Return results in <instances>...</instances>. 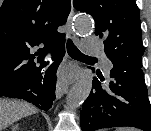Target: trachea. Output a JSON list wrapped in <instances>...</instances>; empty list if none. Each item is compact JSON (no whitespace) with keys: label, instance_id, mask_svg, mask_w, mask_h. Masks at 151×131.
Returning <instances> with one entry per match:
<instances>
[{"label":"trachea","instance_id":"1","mask_svg":"<svg viewBox=\"0 0 151 131\" xmlns=\"http://www.w3.org/2000/svg\"><path fill=\"white\" fill-rule=\"evenodd\" d=\"M67 52L71 57L92 58L81 53L79 49L74 45L71 39L67 40Z\"/></svg>","mask_w":151,"mask_h":131}]
</instances>
